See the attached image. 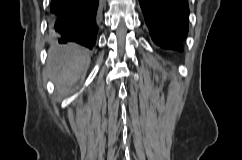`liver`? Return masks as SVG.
Masks as SVG:
<instances>
[{"label": "liver", "instance_id": "liver-1", "mask_svg": "<svg viewBox=\"0 0 242 160\" xmlns=\"http://www.w3.org/2000/svg\"><path fill=\"white\" fill-rule=\"evenodd\" d=\"M89 63L88 51L76 44L52 45L49 49L48 71L58 89L74 84Z\"/></svg>", "mask_w": 242, "mask_h": 160}]
</instances>
